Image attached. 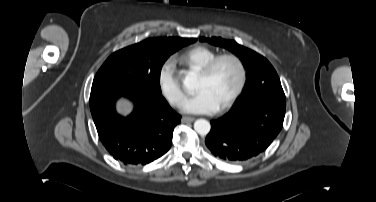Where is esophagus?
<instances>
[{"label":"esophagus","instance_id":"34e87169","mask_svg":"<svg viewBox=\"0 0 376 202\" xmlns=\"http://www.w3.org/2000/svg\"><path fill=\"white\" fill-rule=\"evenodd\" d=\"M194 120H195L194 117H188V116H184V117H182V119H181V121H182L183 123L193 122Z\"/></svg>","mask_w":376,"mask_h":202}]
</instances>
